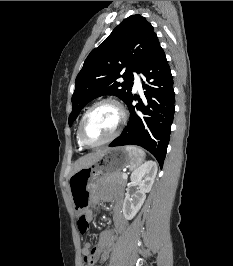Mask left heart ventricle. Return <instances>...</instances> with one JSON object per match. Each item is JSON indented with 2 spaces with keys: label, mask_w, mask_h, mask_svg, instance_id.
I'll list each match as a JSON object with an SVG mask.
<instances>
[{
  "label": "left heart ventricle",
  "mask_w": 233,
  "mask_h": 266,
  "mask_svg": "<svg viewBox=\"0 0 233 266\" xmlns=\"http://www.w3.org/2000/svg\"><path fill=\"white\" fill-rule=\"evenodd\" d=\"M119 121L120 114L114 105H101L87 119L83 129V136L89 143L100 142L114 132Z\"/></svg>",
  "instance_id": "1"
}]
</instances>
